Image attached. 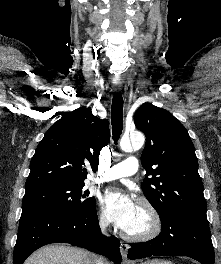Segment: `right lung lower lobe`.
I'll return each mask as SVG.
<instances>
[{
	"mask_svg": "<svg viewBox=\"0 0 221 264\" xmlns=\"http://www.w3.org/2000/svg\"><path fill=\"white\" fill-rule=\"evenodd\" d=\"M50 243L79 246L104 255L115 264L122 261L119 240L101 234L96 206L80 214L22 212L13 264H23L32 252Z\"/></svg>",
	"mask_w": 221,
	"mask_h": 264,
	"instance_id": "98d812e1",
	"label": "right lung lower lobe"
}]
</instances>
